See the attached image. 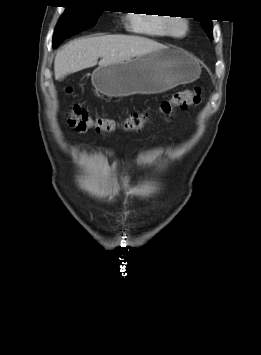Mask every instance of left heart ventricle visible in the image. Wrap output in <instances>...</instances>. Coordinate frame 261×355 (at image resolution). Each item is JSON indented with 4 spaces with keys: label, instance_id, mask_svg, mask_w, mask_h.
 Returning <instances> with one entry per match:
<instances>
[{
    "label": "left heart ventricle",
    "instance_id": "b2bd125f",
    "mask_svg": "<svg viewBox=\"0 0 261 355\" xmlns=\"http://www.w3.org/2000/svg\"><path fill=\"white\" fill-rule=\"evenodd\" d=\"M176 31H177V32H181V31H182V27H181V26H178V27L176 28Z\"/></svg>",
    "mask_w": 261,
    "mask_h": 355
}]
</instances>
